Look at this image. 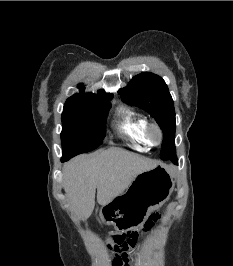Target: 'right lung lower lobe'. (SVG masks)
<instances>
[{
    "label": "right lung lower lobe",
    "instance_id": "right-lung-lower-lobe-1",
    "mask_svg": "<svg viewBox=\"0 0 233 266\" xmlns=\"http://www.w3.org/2000/svg\"><path fill=\"white\" fill-rule=\"evenodd\" d=\"M61 161L64 162V161H67V159L66 158H62Z\"/></svg>",
    "mask_w": 233,
    "mask_h": 266
}]
</instances>
